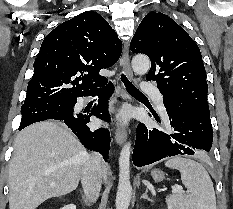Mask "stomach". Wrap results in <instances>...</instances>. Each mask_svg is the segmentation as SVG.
<instances>
[{
    "instance_id": "1",
    "label": "stomach",
    "mask_w": 233,
    "mask_h": 209,
    "mask_svg": "<svg viewBox=\"0 0 233 209\" xmlns=\"http://www.w3.org/2000/svg\"><path fill=\"white\" fill-rule=\"evenodd\" d=\"M151 175L155 181H161L164 179V174L160 170H153Z\"/></svg>"
}]
</instances>
